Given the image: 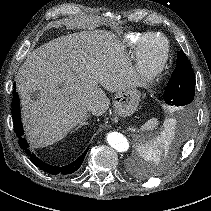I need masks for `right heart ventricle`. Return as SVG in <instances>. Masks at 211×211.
<instances>
[{
  "instance_id": "e07e8e85",
  "label": "right heart ventricle",
  "mask_w": 211,
  "mask_h": 211,
  "mask_svg": "<svg viewBox=\"0 0 211 211\" xmlns=\"http://www.w3.org/2000/svg\"><path fill=\"white\" fill-rule=\"evenodd\" d=\"M148 33L146 32H132L125 36V43L130 50H134L139 41Z\"/></svg>"
}]
</instances>
